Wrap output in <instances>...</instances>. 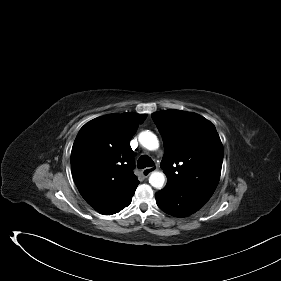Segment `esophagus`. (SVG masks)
Here are the masks:
<instances>
[{"instance_id":"1","label":"esophagus","mask_w":281,"mask_h":281,"mask_svg":"<svg viewBox=\"0 0 281 281\" xmlns=\"http://www.w3.org/2000/svg\"><path fill=\"white\" fill-rule=\"evenodd\" d=\"M157 170V166L147 167L142 170V173L145 177L149 176L152 172Z\"/></svg>"}]
</instances>
